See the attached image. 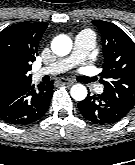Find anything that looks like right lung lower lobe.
Returning a JSON list of instances; mask_svg holds the SVG:
<instances>
[{
  "mask_svg": "<svg viewBox=\"0 0 135 165\" xmlns=\"http://www.w3.org/2000/svg\"><path fill=\"white\" fill-rule=\"evenodd\" d=\"M53 81L35 88L29 81L0 83V117L7 123L29 124L40 119L49 107Z\"/></svg>",
  "mask_w": 135,
  "mask_h": 165,
  "instance_id": "98d812e1",
  "label": "right lung lower lobe"
}]
</instances>
